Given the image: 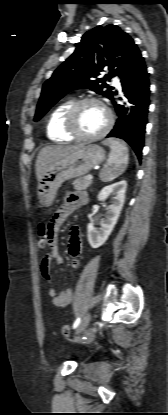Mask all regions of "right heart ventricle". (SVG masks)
Returning a JSON list of instances; mask_svg holds the SVG:
<instances>
[{"instance_id":"right-heart-ventricle-1","label":"right heart ventricle","mask_w":168,"mask_h":415,"mask_svg":"<svg viewBox=\"0 0 168 415\" xmlns=\"http://www.w3.org/2000/svg\"><path fill=\"white\" fill-rule=\"evenodd\" d=\"M73 103L74 101L69 99L52 110L46 128L47 136L50 140L57 143H64L74 139L66 132L64 126L66 112Z\"/></svg>"}]
</instances>
